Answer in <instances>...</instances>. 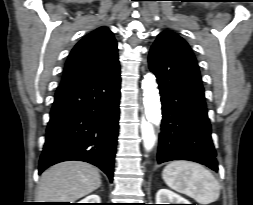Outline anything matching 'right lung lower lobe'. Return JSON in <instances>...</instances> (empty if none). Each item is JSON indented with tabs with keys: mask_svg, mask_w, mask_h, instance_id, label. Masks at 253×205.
<instances>
[{
	"mask_svg": "<svg viewBox=\"0 0 253 205\" xmlns=\"http://www.w3.org/2000/svg\"><path fill=\"white\" fill-rule=\"evenodd\" d=\"M120 82L118 62L102 73L58 87L39 173L62 161L80 160L99 167L113 180Z\"/></svg>",
	"mask_w": 253,
	"mask_h": 205,
	"instance_id": "right-lung-lower-lobe-1",
	"label": "right lung lower lobe"
}]
</instances>
